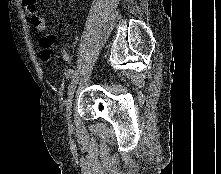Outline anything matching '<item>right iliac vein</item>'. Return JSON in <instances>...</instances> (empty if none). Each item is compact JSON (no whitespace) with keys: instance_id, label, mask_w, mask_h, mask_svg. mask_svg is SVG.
Masks as SVG:
<instances>
[{"instance_id":"obj_1","label":"right iliac vein","mask_w":221,"mask_h":174,"mask_svg":"<svg viewBox=\"0 0 221 174\" xmlns=\"http://www.w3.org/2000/svg\"><path fill=\"white\" fill-rule=\"evenodd\" d=\"M80 73L77 71L73 74L70 84L68 86L67 100H66V120L70 122V111L77 84L79 82Z\"/></svg>"}]
</instances>
